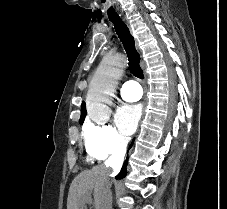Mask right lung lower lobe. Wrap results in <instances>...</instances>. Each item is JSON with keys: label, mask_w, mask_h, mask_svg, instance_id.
<instances>
[{"label": "right lung lower lobe", "mask_w": 227, "mask_h": 209, "mask_svg": "<svg viewBox=\"0 0 227 209\" xmlns=\"http://www.w3.org/2000/svg\"><path fill=\"white\" fill-rule=\"evenodd\" d=\"M133 142L131 143L130 147L132 146ZM126 166H127V161L125 162V164L123 165L122 169H121V172L119 173V178H122L126 175Z\"/></svg>", "instance_id": "1"}]
</instances>
